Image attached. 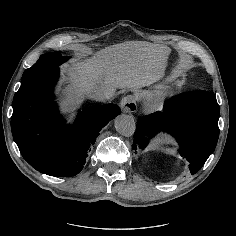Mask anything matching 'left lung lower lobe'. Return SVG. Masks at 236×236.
<instances>
[{"label":"left lung lower lobe","instance_id":"obj_1","mask_svg":"<svg viewBox=\"0 0 236 236\" xmlns=\"http://www.w3.org/2000/svg\"><path fill=\"white\" fill-rule=\"evenodd\" d=\"M220 108L208 91L181 93L170 98L164 112L141 117L134 133L133 150H143L148 139L166 131L175 137L180 154L189 162L191 174L198 172L214 151L218 137Z\"/></svg>","mask_w":236,"mask_h":236}]
</instances>
